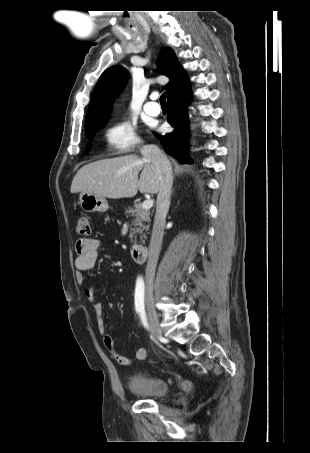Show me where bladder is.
Masks as SVG:
<instances>
[{
  "instance_id": "1",
  "label": "bladder",
  "mask_w": 310,
  "mask_h": 453,
  "mask_svg": "<svg viewBox=\"0 0 310 453\" xmlns=\"http://www.w3.org/2000/svg\"><path fill=\"white\" fill-rule=\"evenodd\" d=\"M127 386L130 391L148 398H161L169 392L166 380L145 373L131 375Z\"/></svg>"
}]
</instances>
